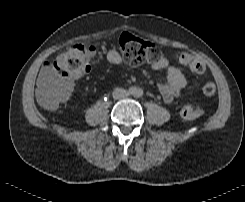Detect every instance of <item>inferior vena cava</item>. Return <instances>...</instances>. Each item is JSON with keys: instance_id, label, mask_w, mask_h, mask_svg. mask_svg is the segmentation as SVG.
Wrapping results in <instances>:
<instances>
[{"instance_id": "inferior-vena-cava-1", "label": "inferior vena cava", "mask_w": 245, "mask_h": 202, "mask_svg": "<svg viewBox=\"0 0 245 202\" xmlns=\"http://www.w3.org/2000/svg\"><path fill=\"white\" fill-rule=\"evenodd\" d=\"M112 94H113V98L116 100L123 99L129 95L128 91H126L123 88H116Z\"/></svg>"}]
</instances>
